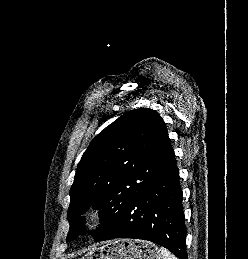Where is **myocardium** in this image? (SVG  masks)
<instances>
[{
    "instance_id": "1",
    "label": "myocardium",
    "mask_w": 248,
    "mask_h": 259,
    "mask_svg": "<svg viewBox=\"0 0 248 259\" xmlns=\"http://www.w3.org/2000/svg\"><path fill=\"white\" fill-rule=\"evenodd\" d=\"M102 216V212L99 209H92L85 215V223L92 225L99 221Z\"/></svg>"
}]
</instances>
